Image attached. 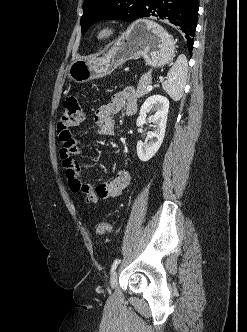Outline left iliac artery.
<instances>
[{
  "mask_svg": "<svg viewBox=\"0 0 247 332\" xmlns=\"http://www.w3.org/2000/svg\"><path fill=\"white\" fill-rule=\"evenodd\" d=\"M118 264H119V259H115V261L113 262L112 267H111V274L115 271Z\"/></svg>",
  "mask_w": 247,
  "mask_h": 332,
  "instance_id": "left-iliac-artery-1",
  "label": "left iliac artery"
}]
</instances>
